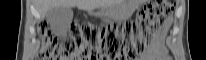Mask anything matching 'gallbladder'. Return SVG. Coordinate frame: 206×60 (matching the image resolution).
I'll list each match as a JSON object with an SVG mask.
<instances>
[{
    "label": "gallbladder",
    "mask_w": 206,
    "mask_h": 60,
    "mask_svg": "<svg viewBox=\"0 0 206 60\" xmlns=\"http://www.w3.org/2000/svg\"><path fill=\"white\" fill-rule=\"evenodd\" d=\"M46 18L54 32L59 29L65 30L72 21L73 11L69 7L57 6L47 12Z\"/></svg>",
    "instance_id": "obj_1"
}]
</instances>
